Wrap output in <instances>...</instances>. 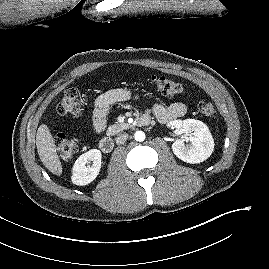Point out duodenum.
<instances>
[{"mask_svg":"<svg viewBox=\"0 0 269 269\" xmlns=\"http://www.w3.org/2000/svg\"><path fill=\"white\" fill-rule=\"evenodd\" d=\"M149 123H150L149 118H140L139 120V124L143 126L148 125ZM99 147L102 152L110 153L114 148V140L111 137L106 136L100 140Z\"/></svg>","mask_w":269,"mask_h":269,"instance_id":"1","label":"duodenum"}]
</instances>
